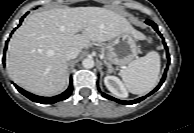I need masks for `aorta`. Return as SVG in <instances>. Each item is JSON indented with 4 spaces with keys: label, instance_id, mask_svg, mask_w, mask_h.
<instances>
[{
    "label": "aorta",
    "instance_id": "762f6f07",
    "mask_svg": "<svg viewBox=\"0 0 194 133\" xmlns=\"http://www.w3.org/2000/svg\"><path fill=\"white\" fill-rule=\"evenodd\" d=\"M82 65L84 68H87V69H90V68H93L94 67V60L92 58H85L83 61H82Z\"/></svg>",
    "mask_w": 194,
    "mask_h": 133
}]
</instances>
